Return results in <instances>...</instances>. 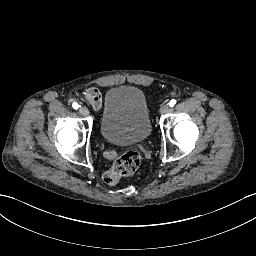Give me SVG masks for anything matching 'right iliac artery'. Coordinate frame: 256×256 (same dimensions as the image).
<instances>
[{
  "mask_svg": "<svg viewBox=\"0 0 256 256\" xmlns=\"http://www.w3.org/2000/svg\"><path fill=\"white\" fill-rule=\"evenodd\" d=\"M72 107H73L74 109H78L80 106L78 105V103L74 102V103L72 104Z\"/></svg>",
  "mask_w": 256,
  "mask_h": 256,
  "instance_id": "82829eb1",
  "label": "right iliac artery"
}]
</instances>
